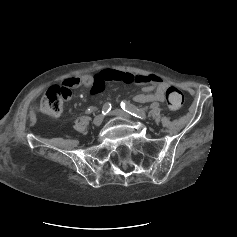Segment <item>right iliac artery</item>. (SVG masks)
<instances>
[{"mask_svg":"<svg viewBox=\"0 0 237 237\" xmlns=\"http://www.w3.org/2000/svg\"><path fill=\"white\" fill-rule=\"evenodd\" d=\"M111 103L107 102L102 107V114L106 115L111 110Z\"/></svg>","mask_w":237,"mask_h":237,"instance_id":"right-iliac-artery-1","label":"right iliac artery"}]
</instances>
